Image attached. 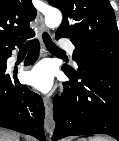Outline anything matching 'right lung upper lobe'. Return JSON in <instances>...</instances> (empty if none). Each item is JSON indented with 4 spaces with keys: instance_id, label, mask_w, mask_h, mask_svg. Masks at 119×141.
Here are the masks:
<instances>
[{
    "instance_id": "right-lung-upper-lobe-1",
    "label": "right lung upper lobe",
    "mask_w": 119,
    "mask_h": 141,
    "mask_svg": "<svg viewBox=\"0 0 119 141\" xmlns=\"http://www.w3.org/2000/svg\"><path fill=\"white\" fill-rule=\"evenodd\" d=\"M36 14L31 0H0V56L33 35L29 23Z\"/></svg>"
}]
</instances>
